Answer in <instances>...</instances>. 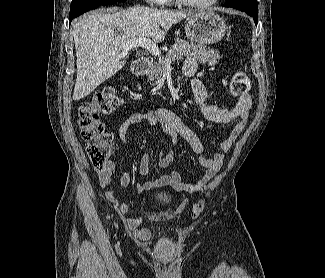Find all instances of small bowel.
Instances as JSON below:
<instances>
[{
	"label": "small bowel",
	"instance_id": "1",
	"mask_svg": "<svg viewBox=\"0 0 325 278\" xmlns=\"http://www.w3.org/2000/svg\"><path fill=\"white\" fill-rule=\"evenodd\" d=\"M197 60L188 58L184 63V73L191 78V86L194 92L195 102L202 112L203 116L213 123H228L235 119V124L229 136L221 143L222 152H227L243 131L252 104V98L248 92L238 95V100L232 109L221 108L207 103V91L202 80L197 75ZM148 123L158 127L176 143L178 138L183 139L197 154L204 152V146L198 135L188 127L182 119L173 111L164 108L153 109L145 112H136L129 115L119 126L118 136L123 144H127V132L132 125ZM174 159L173 150L167 152L160 151L156 165L159 169H170ZM224 161L223 153H216L212 157L200 156L199 165L204 169L203 176L196 182L184 183L180 175L175 170L170 169L168 173L162 175L153 181L139 182L136 184L137 192H143L156 186H170L178 190H201L204 189L216 173L221 168ZM150 157L144 154L139 163L140 173L144 176L149 175ZM117 168L113 161L108 160L105 168L98 172L100 185L106 189V198L119 205L120 210H125V205L119 203L114 191L108 189L115 178L122 187H127L131 183V176L124 171L118 176Z\"/></svg>",
	"mask_w": 325,
	"mask_h": 278
}]
</instances>
